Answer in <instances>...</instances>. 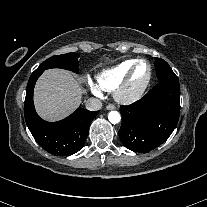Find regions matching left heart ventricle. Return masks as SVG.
<instances>
[{"mask_svg":"<svg viewBox=\"0 0 207 207\" xmlns=\"http://www.w3.org/2000/svg\"><path fill=\"white\" fill-rule=\"evenodd\" d=\"M148 72V68L144 63H140L136 66L133 79H132V86L137 87L139 86L146 78Z\"/></svg>","mask_w":207,"mask_h":207,"instance_id":"b2bd125f","label":"left heart ventricle"}]
</instances>
